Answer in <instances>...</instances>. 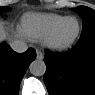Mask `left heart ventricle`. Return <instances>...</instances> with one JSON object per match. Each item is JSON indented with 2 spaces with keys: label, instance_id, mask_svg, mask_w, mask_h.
Returning <instances> with one entry per match:
<instances>
[{
  "label": "left heart ventricle",
  "instance_id": "left-heart-ventricle-1",
  "mask_svg": "<svg viewBox=\"0 0 95 95\" xmlns=\"http://www.w3.org/2000/svg\"><path fill=\"white\" fill-rule=\"evenodd\" d=\"M78 31V22L75 19L68 20L58 34L60 41L66 42L73 39Z\"/></svg>",
  "mask_w": 95,
  "mask_h": 95
}]
</instances>
